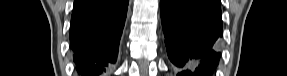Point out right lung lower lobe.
Listing matches in <instances>:
<instances>
[{
    "label": "right lung lower lobe",
    "mask_w": 287,
    "mask_h": 76,
    "mask_svg": "<svg viewBox=\"0 0 287 76\" xmlns=\"http://www.w3.org/2000/svg\"><path fill=\"white\" fill-rule=\"evenodd\" d=\"M128 0H75L70 45L83 76H100L117 60Z\"/></svg>",
    "instance_id": "right-lung-lower-lobe-1"
}]
</instances>
